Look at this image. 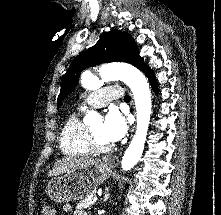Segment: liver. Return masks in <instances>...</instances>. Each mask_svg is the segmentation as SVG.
Returning a JSON list of instances; mask_svg holds the SVG:
<instances>
[{"label": "liver", "mask_w": 221, "mask_h": 215, "mask_svg": "<svg viewBox=\"0 0 221 215\" xmlns=\"http://www.w3.org/2000/svg\"><path fill=\"white\" fill-rule=\"evenodd\" d=\"M94 161L93 158L66 156L54 164L53 169L49 171L48 176L56 177L64 173L73 172L77 169L86 167Z\"/></svg>", "instance_id": "6515ba94"}]
</instances>
